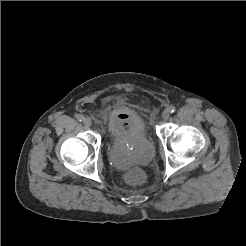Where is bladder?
I'll return each instance as SVG.
<instances>
[{
  "instance_id": "obj_1",
  "label": "bladder",
  "mask_w": 246,
  "mask_h": 246,
  "mask_svg": "<svg viewBox=\"0 0 246 246\" xmlns=\"http://www.w3.org/2000/svg\"><path fill=\"white\" fill-rule=\"evenodd\" d=\"M104 112L106 114L108 135L112 141L148 138L147 123L137 110L114 103ZM153 156V146L147 144L145 148L130 153L113 150L109 155V159L113 166L126 169L133 165H146L153 159Z\"/></svg>"
}]
</instances>
